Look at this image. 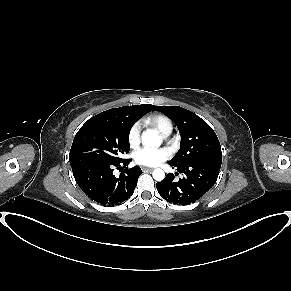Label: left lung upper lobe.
Here are the masks:
<instances>
[{
    "instance_id": "1",
    "label": "left lung upper lobe",
    "mask_w": 291,
    "mask_h": 291,
    "mask_svg": "<svg viewBox=\"0 0 291 291\" xmlns=\"http://www.w3.org/2000/svg\"><path fill=\"white\" fill-rule=\"evenodd\" d=\"M172 119L181 134V147L175 157L169 161L172 165H181L199 158H222L221 146L213 129L199 116L179 106H156Z\"/></svg>"
}]
</instances>
